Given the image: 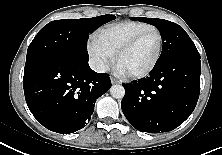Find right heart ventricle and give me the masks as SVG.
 <instances>
[{
	"mask_svg": "<svg viewBox=\"0 0 222 155\" xmlns=\"http://www.w3.org/2000/svg\"><path fill=\"white\" fill-rule=\"evenodd\" d=\"M152 27L155 26L146 22L124 21L102 28L97 35L106 47L115 53L120 46L132 37Z\"/></svg>",
	"mask_w": 222,
	"mask_h": 155,
	"instance_id": "e07e8e85",
	"label": "right heart ventricle"
}]
</instances>
